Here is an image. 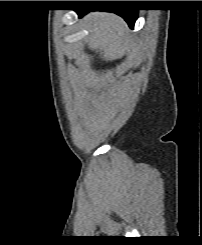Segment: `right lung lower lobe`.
<instances>
[{
	"mask_svg": "<svg viewBox=\"0 0 202 245\" xmlns=\"http://www.w3.org/2000/svg\"><path fill=\"white\" fill-rule=\"evenodd\" d=\"M80 17L85 15L86 13L94 10H76ZM99 11H108V12H114L118 14L119 16L123 17L125 21L128 23V25L133 28L134 23L138 16V10L134 9H99Z\"/></svg>",
	"mask_w": 202,
	"mask_h": 245,
	"instance_id": "98d812e1",
	"label": "right lung lower lobe"
}]
</instances>
